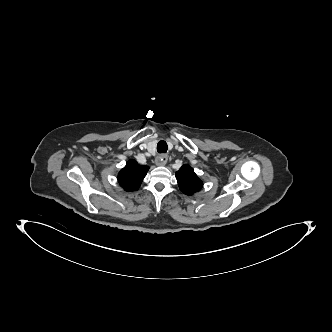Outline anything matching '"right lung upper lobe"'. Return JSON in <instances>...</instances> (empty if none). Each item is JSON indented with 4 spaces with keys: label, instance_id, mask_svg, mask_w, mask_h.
I'll list each match as a JSON object with an SVG mask.
<instances>
[{
    "label": "right lung upper lobe",
    "instance_id": "cb5924a9",
    "mask_svg": "<svg viewBox=\"0 0 332 332\" xmlns=\"http://www.w3.org/2000/svg\"><path fill=\"white\" fill-rule=\"evenodd\" d=\"M147 171V166L139 165L137 161L131 159L119 172L118 181L124 190L135 191L140 187Z\"/></svg>",
    "mask_w": 332,
    "mask_h": 332
}]
</instances>
